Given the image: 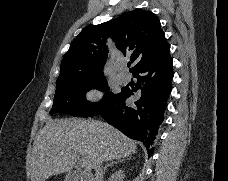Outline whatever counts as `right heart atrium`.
Wrapping results in <instances>:
<instances>
[{
	"mask_svg": "<svg viewBox=\"0 0 228 181\" xmlns=\"http://www.w3.org/2000/svg\"><path fill=\"white\" fill-rule=\"evenodd\" d=\"M98 92H93L92 94H91V98H95L96 96H98Z\"/></svg>",
	"mask_w": 228,
	"mask_h": 181,
	"instance_id": "1",
	"label": "right heart atrium"
}]
</instances>
